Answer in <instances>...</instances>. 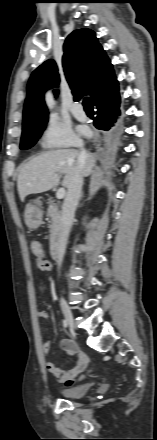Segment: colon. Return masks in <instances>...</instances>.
<instances>
[{"instance_id":"5ec220e1","label":"colon","mask_w":157,"mask_h":440,"mask_svg":"<svg viewBox=\"0 0 157 440\" xmlns=\"http://www.w3.org/2000/svg\"><path fill=\"white\" fill-rule=\"evenodd\" d=\"M31 251L36 257V267L39 270H44L48 266V260L45 258L44 250L41 243L37 240L31 242ZM82 378V377H81ZM80 378V379H81ZM75 379L68 380L65 384L67 387H72L75 384Z\"/></svg>"}]
</instances>
